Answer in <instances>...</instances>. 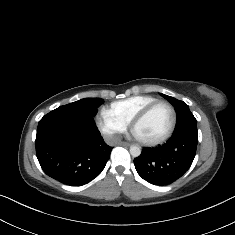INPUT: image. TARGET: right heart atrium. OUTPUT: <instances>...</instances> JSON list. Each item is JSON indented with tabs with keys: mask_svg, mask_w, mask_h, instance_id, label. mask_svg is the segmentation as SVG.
Returning <instances> with one entry per match:
<instances>
[{
	"mask_svg": "<svg viewBox=\"0 0 235 235\" xmlns=\"http://www.w3.org/2000/svg\"><path fill=\"white\" fill-rule=\"evenodd\" d=\"M95 122L99 130L105 134L111 142H118L119 137L126 131L127 125L112 114L110 108L101 106L96 115Z\"/></svg>",
	"mask_w": 235,
	"mask_h": 235,
	"instance_id": "obj_1",
	"label": "right heart atrium"
}]
</instances>
